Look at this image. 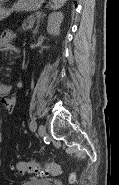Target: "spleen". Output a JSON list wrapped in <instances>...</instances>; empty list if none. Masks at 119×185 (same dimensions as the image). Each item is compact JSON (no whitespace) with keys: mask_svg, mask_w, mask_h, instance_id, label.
<instances>
[{"mask_svg":"<svg viewBox=\"0 0 119 185\" xmlns=\"http://www.w3.org/2000/svg\"><path fill=\"white\" fill-rule=\"evenodd\" d=\"M67 0H51L53 9H58L64 5Z\"/></svg>","mask_w":119,"mask_h":185,"instance_id":"spleen-1","label":"spleen"}]
</instances>
